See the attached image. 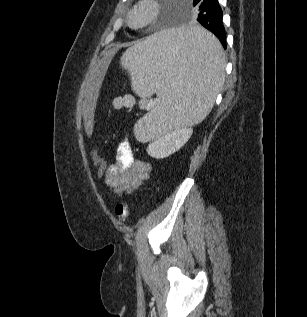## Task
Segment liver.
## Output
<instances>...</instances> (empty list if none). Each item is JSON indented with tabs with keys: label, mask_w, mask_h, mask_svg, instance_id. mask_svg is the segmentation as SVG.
<instances>
[{
	"label": "liver",
	"mask_w": 307,
	"mask_h": 317,
	"mask_svg": "<svg viewBox=\"0 0 307 317\" xmlns=\"http://www.w3.org/2000/svg\"><path fill=\"white\" fill-rule=\"evenodd\" d=\"M117 54L116 48H108L105 55L100 56L99 63L95 64L93 74H90L88 82L85 85L84 99L80 102L82 108L83 127L86 136L92 135V125L94 124L95 108L100 98V91L103 88V78H106L107 70L114 61V56Z\"/></svg>",
	"instance_id": "obj_1"
}]
</instances>
